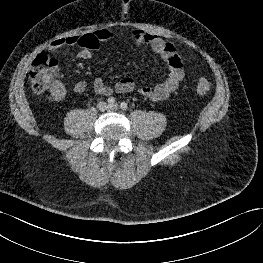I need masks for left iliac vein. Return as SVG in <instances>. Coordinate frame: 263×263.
<instances>
[{"instance_id": "4c4485c4", "label": "left iliac vein", "mask_w": 263, "mask_h": 263, "mask_svg": "<svg viewBox=\"0 0 263 263\" xmlns=\"http://www.w3.org/2000/svg\"><path fill=\"white\" fill-rule=\"evenodd\" d=\"M119 106L117 104H113L109 106L110 110H118Z\"/></svg>"}]
</instances>
